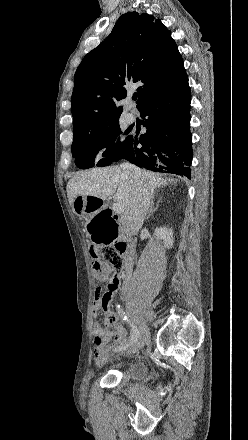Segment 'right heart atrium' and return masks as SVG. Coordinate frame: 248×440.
I'll use <instances>...</instances> for the list:
<instances>
[{
    "mask_svg": "<svg viewBox=\"0 0 248 440\" xmlns=\"http://www.w3.org/2000/svg\"><path fill=\"white\" fill-rule=\"evenodd\" d=\"M110 149V144L108 142L104 143L97 151V157L105 156Z\"/></svg>",
    "mask_w": 248,
    "mask_h": 440,
    "instance_id": "d8ad5b80",
    "label": "right heart atrium"
}]
</instances>
